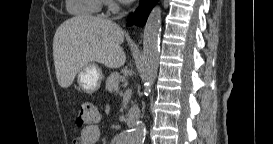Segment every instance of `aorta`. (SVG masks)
Here are the masks:
<instances>
[{"mask_svg":"<svg viewBox=\"0 0 273 144\" xmlns=\"http://www.w3.org/2000/svg\"><path fill=\"white\" fill-rule=\"evenodd\" d=\"M161 12L155 7L147 19L143 33L144 91L150 92L157 76L160 54ZM146 136L145 124L140 122L130 131L121 133L119 144H142Z\"/></svg>","mask_w":273,"mask_h":144,"instance_id":"aorta-1","label":"aorta"}]
</instances>
